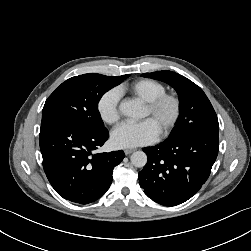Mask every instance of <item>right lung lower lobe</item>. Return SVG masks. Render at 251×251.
Here are the masks:
<instances>
[{"label":"right lung lower lobe","mask_w":251,"mask_h":251,"mask_svg":"<svg viewBox=\"0 0 251 251\" xmlns=\"http://www.w3.org/2000/svg\"><path fill=\"white\" fill-rule=\"evenodd\" d=\"M108 137L106 128L91 129L66 121L41 126L39 143L43 168L61 197L88 204L109 189L113 169L125 154L122 150L94 153Z\"/></svg>","instance_id":"1"}]
</instances>
